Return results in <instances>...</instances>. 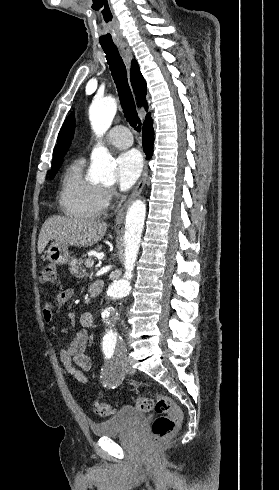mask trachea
Here are the masks:
<instances>
[{
  "mask_svg": "<svg viewBox=\"0 0 279 490\" xmlns=\"http://www.w3.org/2000/svg\"><path fill=\"white\" fill-rule=\"evenodd\" d=\"M107 58V62L110 66L113 80L118 90L120 102L123 108L126 120L129 122L137 132L141 131V120L135 108L133 95L131 93L127 72L124 62L118 52L117 47H102Z\"/></svg>",
  "mask_w": 279,
  "mask_h": 490,
  "instance_id": "trachea-1",
  "label": "trachea"
}]
</instances>
